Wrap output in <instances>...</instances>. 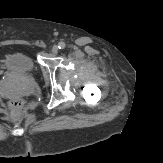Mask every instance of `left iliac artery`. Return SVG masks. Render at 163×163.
<instances>
[{
	"instance_id": "1",
	"label": "left iliac artery",
	"mask_w": 163,
	"mask_h": 163,
	"mask_svg": "<svg viewBox=\"0 0 163 163\" xmlns=\"http://www.w3.org/2000/svg\"><path fill=\"white\" fill-rule=\"evenodd\" d=\"M66 47V44L64 42H59L58 48L59 49H64Z\"/></svg>"
}]
</instances>
